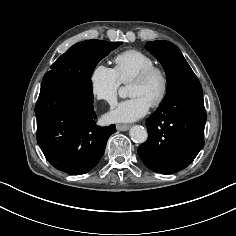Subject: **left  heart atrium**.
Listing matches in <instances>:
<instances>
[{
    "label": "left heart atrium",
    "instance_id": "obj_1",
    "mask_svg": "<svg viewBox=\"0 0 236 236\" xmlns=\"http://www.w3.org/2000/svg\"><path fill=\"white\" fill-rule=\"evenodd\" d=\"M151 104L139 96L131 97L119 103L106 118L110 122H131L143 117Z\"/></svg>",
    "mask_w": 236,
    "mask_h": 236
}]
</instances>
